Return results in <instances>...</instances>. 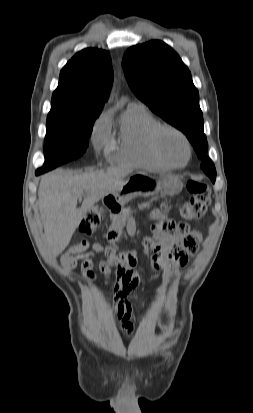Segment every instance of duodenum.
Returning a JSON list of instances; mask_svg holds the SVG:
<instances>
[{"instance_id":"410a0bca","label":"duodenum","mask_w":253,"mask_h":413,"mask_svg":"<svg viewBox=\"0 0 253 413\" xmlns=\"http://www.w3.org/2000/svg\"><path fill=\"white\" fill-rule=\"evenodd\" d=\"M105 204L111 209L115 208L114 203H112L110 201H106ZM107 238H108L109 243L115 244L118 240V234H117L116 231H109L108 234H107Z\"/></svg>"}]
</instances>
